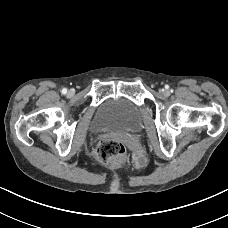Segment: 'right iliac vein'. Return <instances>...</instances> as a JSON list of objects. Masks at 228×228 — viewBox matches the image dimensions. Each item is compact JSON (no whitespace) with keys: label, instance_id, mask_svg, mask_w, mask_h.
<instances>
[{"label":"right iliac vein","instance_id":"63e3f726","mask_svg":"<svg viewBox=\"0 0 228 228\" xmlns=\"http://www.w3.org/2000/svg\"><path fill=\"white\" fill-rule=\"evenodd\" d=\"M68 95L72 96V95H73V91L70 90V91L68 92Z\"/></svg>","mask_w":228,"mask_h":228}]
</instances>
